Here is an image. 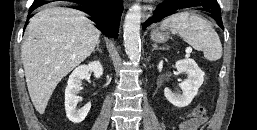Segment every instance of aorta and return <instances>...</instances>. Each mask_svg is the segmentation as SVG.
Segmentation results:
<instances>
[{"label": "aorta", "mask_w": 257, "mask_h": 130, "mask_svg": "<svg viewBox=\"0 0 257 130\" xmlns=\"http://www.w3.org/2000/svg\"><path fill=\"white\" fill-rule=\"evenodd\" d=\"M140 22L141 6L135 4L127 12L123 25L125 51L135 64L139 62L141 56Z\"/></svg>", "instance_id": "762f6f07"}]
</instances>
